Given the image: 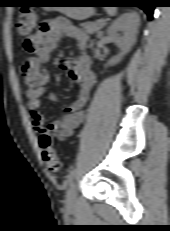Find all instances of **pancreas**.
Returning a JSON list of instances; mask_svg holds the SVG:
<instances>
[{"mask_svg":"<svg viewBox=\"0 0 170 231\" xmlns=\"http://www.w3.org/2000/svg\"><path fill=\"white\" fill-rule=\"evenodd\" d=\"M104 25V20H98L96 22L82 23L81 27L86 33L93 34L95 32H98Z\"/></svg>","mask_w":170,"mask_h":231,"instance_id":"obj_1","label":"pancreas"}]
</instances>
